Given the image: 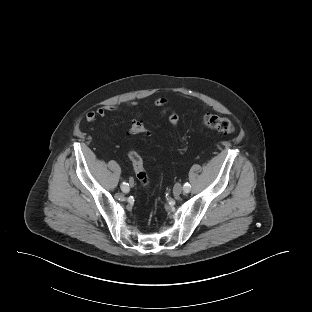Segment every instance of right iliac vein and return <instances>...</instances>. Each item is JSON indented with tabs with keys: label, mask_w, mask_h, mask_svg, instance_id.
<instances>
[{
	"label": "right iliac vein",
	"mask_w": 312,
	"mask_h": 312,
	"mask_svg": "<svg viewBox=\"0 0 312 312\" xmlns=\"http://www.w3.org/2000/svg\"><path fill=\"white\" fill-rule=\"evenodd\" d=\"M129 183H130V185L132 186V185H133V180L130 179V180H129Z\"/></svg>",
	"instance_id": "obj_1"
}]
</instances>
